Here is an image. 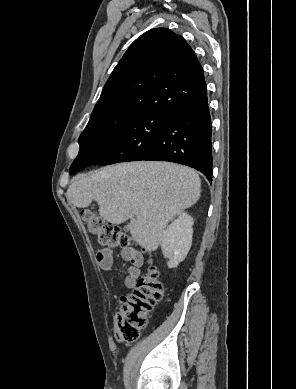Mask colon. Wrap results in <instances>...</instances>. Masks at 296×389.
<instances>
[{
	"instance_id": "obj_1",
	"label": "colon",
	"mask_w": 296,
	"mask_h": 389,
	"mask_svg": "<svg viewBox=\"0 0 296 389\" xmlns=\"http://www.w3.org/2000/svg\"><path fill=\"white\" fill-rule=\"evenodd\" d=\"M82 220L88 231L97 236L100 244L110 248H126L132 240L119 226L105 222L96 212L83 210ZM164 286L159 270L150 265L138 279L133 291L121 297V307L114 314L116 339L125 344L139 339L148 318L163 298Z\"/></svg>"
}]
</instances>
